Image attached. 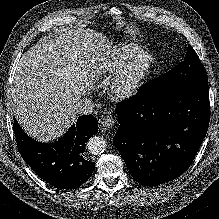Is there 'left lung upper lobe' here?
Wrapping results in <instances>:
<instances>
[{"mask_svg":"<svg viewBox=\"0 0 219 219\" xmlns=\"http://www.w3.org/2000/svg\"><path fill=\"white\" fill-rule=\"evenodd\" d=\"M195 82L208 83V77L198 55L188 45L184 61L169 72L146 83L140 90L144 95H157L176 86Z\"/></svg>","mask_w":219,"mask_h":219,"instance_id":"1","label":"left lung upper lobe"}]
</instances>
